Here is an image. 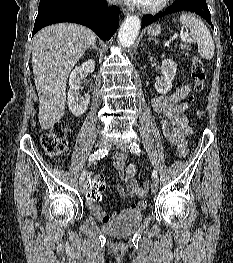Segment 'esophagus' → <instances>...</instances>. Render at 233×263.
Returning <instances> with one entry per match:
<instances>
[{
  "label": "esophagus",
  "mask_w": 233,
  "mask_h": 263,
  "mask_svg": "<svg viewBox=\"0 0 233 263\" xmlns=\"http://www.w3.org/2000/svg\"><path fill=\"white\" fill-rule=\"evenodd\" d=\"M122 12H123L124 15H130V13H131V12H130L129 10H127V9H123Z\"/></svg>",
  "instance_id": "esophagus-1"
}]
</instances>
